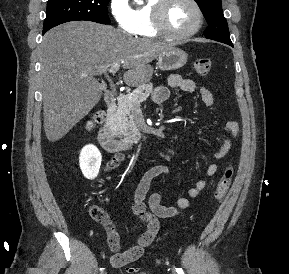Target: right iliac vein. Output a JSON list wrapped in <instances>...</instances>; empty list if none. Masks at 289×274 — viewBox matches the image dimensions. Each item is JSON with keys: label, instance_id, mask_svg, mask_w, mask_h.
Masks as SVG:
<instances>
[{"label": "right iliac vein", "instance_id": "obj_1", "mask_svg": "<svg viewBox=\"0 0 289 274\" xmlns=\"http://www.w3.org/2000/svg\"><path fill=\"white\" fill-rule=\"evenodd\" d=\"M101 274H107V272L104 270V271H102V273Z\"/></svg>", "mask_w": 289, "mask_h": 274}]
</instances>
